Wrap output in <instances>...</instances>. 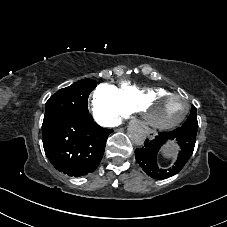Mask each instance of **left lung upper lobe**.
Wrapping results in <instances>:
<instances>
[{
	"label": "left lung upper lobe",
	"instance_id": "obj_1",
	"mask_svg": "<svg viewBox=\"0 0 227 227\" xmlns=\"http://www.w3.org/2000/svg\"><path fill=\"white\" fill-rule=\"evenodd\" d=\"M180 128L183 130L197 132V129H198L197 110L193 105L191 107V112L189 117Z\"/></svg>",
	"mask_w": 227,
	"mask_h": 227
}]
</instances>
